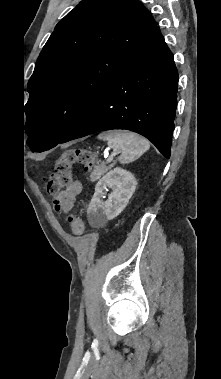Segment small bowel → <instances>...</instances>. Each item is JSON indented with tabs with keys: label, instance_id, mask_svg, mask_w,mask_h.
Masks as SVG:
<instances>
[{
	"label": "small bowel",
	"instance_id": "small-bowel-1",
	"mask_svg": "<svg viewBox=\"0 0 221 379\" xmlns=\"http://www.w3.org/2000/svg\"><path fill=\"white\" fill-rule=\"evenodd\" d=\"M82 192V184L80 181H74L70 187L67 189L60 190H51L50 196L55 197L54 203L58 211L71 214L75 210V204L77 197Z\"/></svg>",
	"mask_w": 221,
	"mask_h": 379
}]
</instances>
